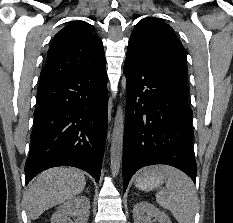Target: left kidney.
I'll return each instance as SVG.
<instances>
[{"label": "left kidney", "instance_id": "obj_1", "mask_svg": "<svg viewBox=\"0 0 233 223\" xmlns=\"http://www.w3.org/2000/svg\"><path fill=\"white\" fill-rule=\"evenodd\" d=\"M151 217H154V221H159V223H172L167 213L160 211L153 203H149V201L135 203L133 207V223H152Z\"/></svg>", "mask_w": 233, "mask_h": 223}]
</instances>
